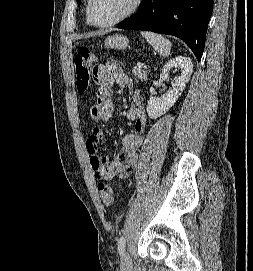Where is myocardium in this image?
<instances>
[{
    "instance_id": "f54148a6",
    "label": "myocardium",
    "mask_w": 253,
    "mask_h": 271,
    "mask_svg": "<svg viewBox=\"0 0 253 271\" xmlns=\"http://www.w3.org/2000/svg\"><path fill=\"white\" fill-rule=\"evenodd\" d=\"M141 3H142V0H133L131 7L123 15H121L120 17L116 18L115 20L111 22L104 23V24L98 23L93 16V13H92L93 0H88L86 13H87L89 21L95 27L109 28L121 23L122 21L134 15L138 11L139 7L141 6Z\"/></svg>"
}]
</instances>
